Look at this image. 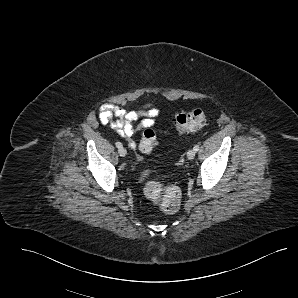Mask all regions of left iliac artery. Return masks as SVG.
I'll list each match as a JSON object with an SVG mask.
<instances>
[{"label": "left iliac artery", "instance_id": "obj_1", "mask_svg": "<svg viewBox=\"0 0 298 298\" xmlns=\"http://www.w3.org/2000/svg\"><path fill=\"white\" fill-rule=\"evenodd\" d=\"M193 149H194L195 151H198V150H199V145H195Z\"/></svg>", "mask_w": 298, "mask_h": 298}]
</instances>
